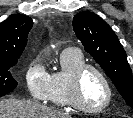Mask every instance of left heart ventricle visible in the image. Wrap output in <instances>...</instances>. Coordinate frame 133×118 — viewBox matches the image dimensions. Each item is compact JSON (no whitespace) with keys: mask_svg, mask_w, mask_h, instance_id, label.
<instances>
[{"mask_svg":"<svg viewBox=\"0 0 133 118\" xmlns=\"http://www.w3.org/2000/svg\"><path fill=\"white\" fill-rule=\"evenodd\" d=\"M81 97L89 107H99L107 99V89L102 78L94 71H87L81 82Z\"/></svg>","mask_w":133,"mask_h":118,"instance_id":"1","label":"left heart ventricle"}]
</instances>
